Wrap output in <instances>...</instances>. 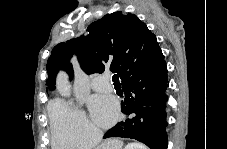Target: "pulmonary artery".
<instances>
[{
    "label": "pulmonary artery",
    "instance_id": "1",
    "mask_svg": "<svg viewBox=\"0 0 227 149\" xmlns=\"http://www.w3.org/2000/svg\"><path fill=\"white\" fill-rule=\"evenodd\" d=\"M91 86L95 90L104 91L111 89L110 78L107 75H100L95 77Z\"/></svg>",
    "mask_w": 227,
    "mask_h": 149
}]
</instances>
